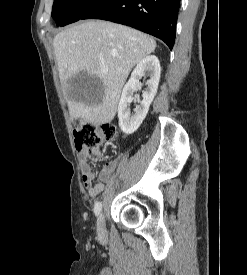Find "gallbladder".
<instances>
[{
  "instance_id": "1",
  "label": "gallbladder",
  "mask_w": 247,
  "mask_h": 275,
  "mask_svg": "<svg viewBox=\"0 0 247 275\" xmlns=\"http://www.w3.org/2000/svg\"><path fill=\"white\" fill-rule=\"evenodd\" d=\"M69 89L88 96H98L103 91L100 79L84 71L69 79Z\"/></svg>"
}]
</instances>
